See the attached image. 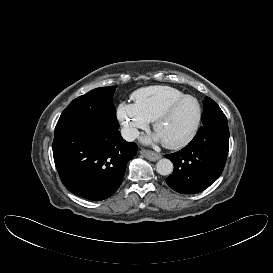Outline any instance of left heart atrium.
<instances>
[{"label":"left heart atrium","mask_w":273,"mask_h":273,"mask_svg":"<svg viewBox=\"0 0 273 273\" xmlns=\"http://www.w3.org/2000/svg\"><path fill=\"white\" fill-rule=\"evenodd\" d=\"M143 141L146 143H149V142H160L162 140L156 133H154L152 135L144 137Z\"/></svg>","instance_id":"obj_1"}]
</instances>
